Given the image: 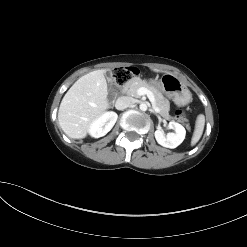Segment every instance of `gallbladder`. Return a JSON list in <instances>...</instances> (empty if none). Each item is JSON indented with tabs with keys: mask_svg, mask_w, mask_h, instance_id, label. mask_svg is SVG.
I'll return each instance as SVG.
<instances>
[{
	"mask_svg": "<svg viewBox=\"0 0 247 247\" xmlns=\"http://www.w3.org/2000/svg\"><path fill=\"white\" fill-rule=\"evenodd\" d=\"M105 77L109 82H111L113 79V73L110 70H108L105 72Z\"/></svg>",
	"mask_w": 247,
	"mask_h": 247,
	"instance_id": "bac80fb5",
	"label": "gallbladder"
}]
</instances>
